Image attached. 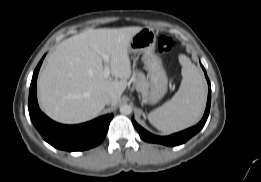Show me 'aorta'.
Listing matches in <instances>:
<instances>
[{
    "instance_id": "762f6f07",
    "label": "aorta",
    "mask_w": 261,
    "mask_h": 182,
    "mask_svg": "<svg viewBox=\"0 0 261 182\" xmlns=\"http://www.w3.org/2000/svg\"><path fill=\"white\" fill-rule=\"evenodd\" d=\"M120 113L124 114V115H129L132 113V107L128 104H124L122 106H120Z\"/></svg>"
}]
</instances>
